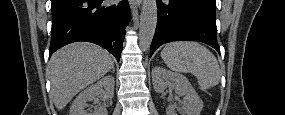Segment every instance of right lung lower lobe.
Listing matches in <instances>:
<instances>
[{
    "label": "right lung lower lobe",
    "instance_id": "right-lung-lower-lobe-1",
    "mask_svg": "<svg viewBox=\"0 0 285 115\" xmlns=\"http://www.w3.org/2000/svg\"><path fill=\"white\" fill-rule=\"evenodd\" d=\"M129 18L128 0L109 6L103 0H52L49 56L69 43L87 41L107 49L119 61Z\"/></svg>",
    "mask_w": 285,
    "mask_h": 115
}]
</instances>
